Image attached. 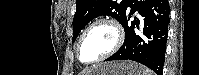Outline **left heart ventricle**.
<instances>
[{
    "instance_id": "left-heart-ventricle-1",
    "label": "left heart ventricle",
    "mask_w": 199,
    "mask_h": 75,
    "mask_svg": "<svg viewBox=\"0 0 199 75\" xmlns=\"http://www.w3.org/2000/svg\"><path fill=\"white\" fill-rule=\"evenodd\" d=\"M114 44V32L107 26L94 27L83 39L80 57L91 62L106 53Z\"/></svg>"
}]
</instances>
